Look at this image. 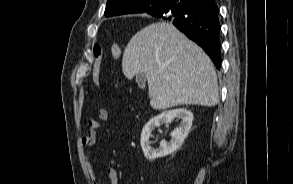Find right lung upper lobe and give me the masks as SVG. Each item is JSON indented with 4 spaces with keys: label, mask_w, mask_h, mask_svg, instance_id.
<instances>
[{
    "label": "right lung upper lobe",
    "mask_w": 293,
    "mask_h": 184,
    "mask_svg": "<svg viewBox=\"0 0 293 184\" xmlns=\"http://www.w3.org/2000/svg\"><path fill=\"white\" fill-rule=\"evenodd\" d=\"M156 0H108L105 10V16H118L133 13H148L152 16L161 14L162 12L170 9L178 4L181 0H168L169 5L163 11H153L152 3ZM205 6L214 3L215 0H191Z\"/></svg>",
    "instance_id": "cb5924a9"
}]
</instances>
